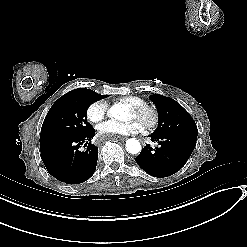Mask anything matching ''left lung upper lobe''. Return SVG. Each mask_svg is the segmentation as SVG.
<instances>
[{
  "label": "left lung upper lobe",
  "mask_w": 247,
  "mask_h": 247,
  "mask_svg": "<svg viewBox=\"0 0 247 247\" xmlns=\"http://www.w3.org/2000/svg\"><path fill=\"white\" fill-rule=\"evenodd\" d=\"M150 99L158 110V127L152 135L197 139L198 130L193 118L178 102L160 94H153Z\"/></svg>",
  "instance_id": "left-lung-upper-lobe-1"
}]
</instances>
